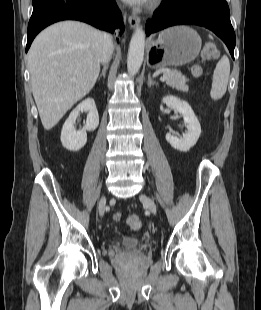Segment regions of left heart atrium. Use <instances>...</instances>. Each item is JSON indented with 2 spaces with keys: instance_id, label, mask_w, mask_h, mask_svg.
<instances>
[{
  "instance_id": "1",
  "label": "left heart atrium",
  "mask_w": 261,
  "mask_h": 310,
  "mask_svg": "<svg viewBox=\"0 0 261 310\" xmlns=\"http://www.w3.org/2000/svg\"><path fill=\"white\" fill-rule=\"evenodd\" d=\"M123 1L132 5H142L148 2V0H123Z\"/></svg>"
}]
</instances>
